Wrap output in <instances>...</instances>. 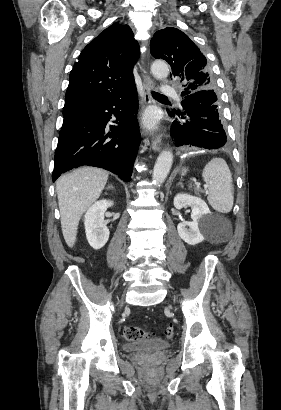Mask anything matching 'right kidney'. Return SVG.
Returning a JSON list of instances; mask_svg holds the SVG:
<instances>
[{"instance_id":"obj_1","label":"right kidney","mask_w":281,"mask_h":410,"mask_svg":"<svg viewBox=\"0 0 281 410\" xmlns=\"http://www.w3.org/2000/svg\"><path fill=\"white\" fill-rule=\"evenodd\" d=\"M113 204L111 200H100L95 202L85 214L86 238L90 246L95 250L101 249L109 239L110 232L104 222V213Z\"/></svg>"}]
</instances>
